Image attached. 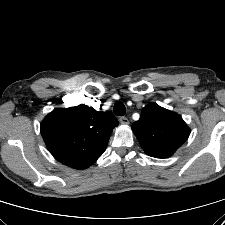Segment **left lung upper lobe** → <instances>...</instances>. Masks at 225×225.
<instances>
[{"instance_id":"5c2ea615","label":"left lung upper lobe","mask_w":225,"mask_h":225,"mask_svg":"<svg viewBox=\"0 0 225 225\" xmlns=\"http://www.w3.org/2000/svg\"><path fill=\"white\" fill-rule=\"evenodd\" d=\"M132 130L144 151L152 157L167 158L185 143L190 129L180 115L156 103L146 105Z\"/></svg>"}]
</instances>
